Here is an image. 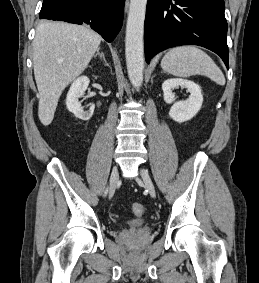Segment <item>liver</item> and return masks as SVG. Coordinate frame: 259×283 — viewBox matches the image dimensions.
I'll return each mask as SVG.
<instances>
[{
	"label": "liver",
	"mask_w": 259,
	"mask_h": 283,
	"mask_svg": "<svg viewBox=\"0 0 259 283\" xmlns=\"http://www.w3.org/2000/svg\"><path fill=\"white\" fill-rule=\"evenodd\" d=\"M100 43V35L86 25L43 21L37 27L33 67L44 126L52 122L62 91L87 68Z\"/></svg>",
	"instance_id": "liver-1"
}]
</instances>
